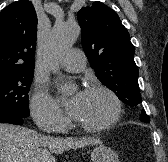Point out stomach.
<instances>
[{
	"label": "stomach",
	"mask_w": 168,
	"mask_h": 162,
	"mask_svg": "<svg viewBox=\"0 0 168 162\" xmlns=\"http://www.w3.org/2000/svg\"><path fill=\"white\" fill-rule=\"evenodd\" d=\"M91 160L92 162H119L115 151L104 145L96 146L92 150Z\"/></svg>",
	"instance_id": "stomach-1"
}]
</instances>
